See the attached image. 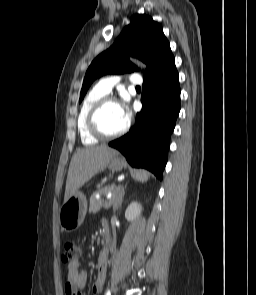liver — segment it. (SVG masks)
Instances as JSON below:
<instances>
[{
  "label": "liver",
  "instance_id": "1",
  "mask_svg": "<svg viewBox=\"0 0 256 295\" xmlns=\"http://www.w3.org/2000/svg\"><path fill=\"white\" fill-rule=\"evenodd\" d=\"M118 152L106 145L78 150L72 157L65 188L64 202L93 176L104 170Z\"/></svg>",
  "mask_w": 256,
  "mask_h": 295
}]
</instances>
